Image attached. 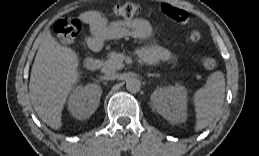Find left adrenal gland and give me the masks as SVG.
<instances>
[{
	"label": "left adrenal gland",
	"mask_w": 259,
	"mask_h": 156,
	"mask_svg": "<svg viewBox=\"0 0 259 156\" xmlns=\"http://www.w3.org/2000/svg\"><path fill=\"white\" fill-rule=\"evenodd\" d=\"M147 76L148 77H160L159 74H152V73H148Z\"/></svg>",
	"instance_id": "obj_1"
}]
</instances>
